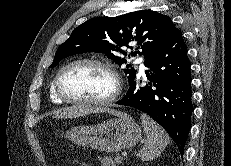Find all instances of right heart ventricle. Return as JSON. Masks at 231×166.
<instances>
[{
	"label": "right heart ventricle",
	"instance_id": "obj_1",
	"mask_svg": "<svg viewBox=\"0 0 231 166\" xmlns=\"http://www.w3.org/2000/svg\"><path fill=\"white\" fill-rule=\"evenodd\" d=\"M50 98L54 103L60 104L62 103V100L57 96L55 89H54V84H51L50 87Z\"/></svg>",
	"mask_w": 231,
	"mask_h": 166
}]
</instances>
